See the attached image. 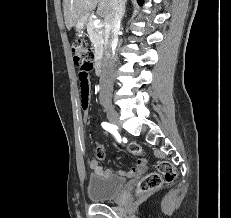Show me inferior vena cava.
Returning a JSON list of instances; mask_svg holds the SVG:
<instances>
[{"mask_svg": "<svg viewBox=\"0 0 231 218\" xmlns=\"http://www.w3.org/2000/svg\"><path fill=\"white\" fill-rule=\"evenodd\" d=\"M126 0H110V9L105 17L104 56L100 75V98H110L113 88V71L115 63V48L118 42V32L125 11Z\"/></svg>", "mask_w": 231, "mask_h": 218, "instance_id": "obj_1", "label": "inferior vena cava"}]
</instances>
